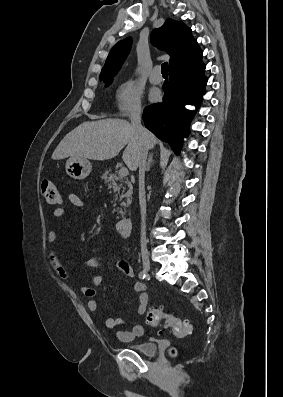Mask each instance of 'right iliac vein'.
Masks as SVG:
<instances>
[{
	"label": "right iliac vein",
	"instance_id": "obj_1",
	"mask_svg": "<svg viewBox=\"0 0 283 397\" xmlns=\"http://www.w3.org/2000/svg\"><path fill=\"white\" fill-rule=\"evenodd\" d=\"M142 266L143 271L148 274L150 272V260L148 254L146 253L142 255Z\"/></svg>",
	"mask_w": 283,
	"mask_h": 397
}]
</instances>
